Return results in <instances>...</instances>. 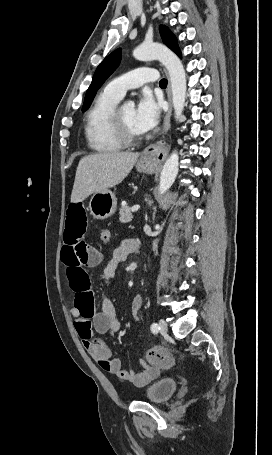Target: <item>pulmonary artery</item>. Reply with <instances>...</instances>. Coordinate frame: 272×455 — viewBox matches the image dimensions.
Segmentation results:
<instances>
[{
    "label": "pulmonary artery",
    "instance_id": "obj_1",
    "mask_svg": "<svg viewBox=\"0 0 272 455\" xmlns=\"http://www.w3.org/2000/svg\"><path fill=\"white\" fill-rule=\"evenodd\" d=\"M157 79L158 73L155 69L139 67L115 78L107 88L122 98L127 90L140 87L147 82H155Z\"/></svg>",
    "mask_w": 272,
    "mask_h": 455
}]
</instances>
